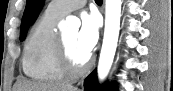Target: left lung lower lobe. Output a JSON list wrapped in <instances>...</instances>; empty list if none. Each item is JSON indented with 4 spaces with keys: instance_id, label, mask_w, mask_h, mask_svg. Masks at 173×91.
<instances>
[{
    "instance_id": "obj_1",
    "label": "left lung lower lobe",
    "mask_w": 173,
    "mask_h": 91,
    "mask_svg": "<svg viewBox=\"0 0 173 91\" xmlns=\"http://www.w3.org/2000/svg\"><path fill=\"white\" fill-rule=\"evenodd\" d=\"M85 91H112L113 88L103 85L101 87L97 84L96 71H93L84 81Z\"/></svg>"
}]
</instances>
